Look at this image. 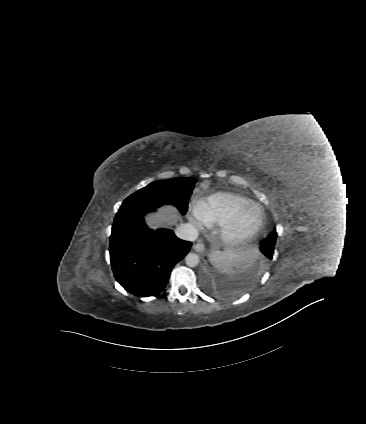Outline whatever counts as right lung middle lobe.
<instances>
[{
  "label": "right lung middle lobe",
  "mask_w": 366,
  "mask_h": 424,
  "mask_svg": "<svg viewBox=\"0 0 366 424\" xmlns=\"http://www.w3.org/2000/svg\"><path fill=\"white\" fill-rule=\"evenodd\" d=\"M196 181L195 178L179 177L150 183L126 198L118 213L131 209H155L163 204H172L185 214Z\"/></svg>",
  "instance_id": "obj_1"
}]
</instances>
